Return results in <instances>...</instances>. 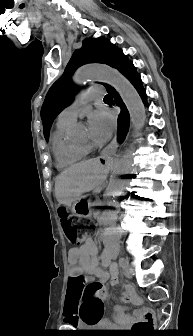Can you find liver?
<instances>
[{
    "label": "liver",
    "mask_w": 193,
    "mask_h": 336,
    "mask_svg": "<svg viewBox=\"0 0 193 336\" xmlns=\"http://www.w3.org/2000/svg\"><path fill=\"white\" fill-rule=\"evenodd\" d=\"M111 168L110 160L104 163L93 158L74 164L59 174L55 181V197L59 204L71 206L82 194L97 191L106 180Z\"/></svg>",
    "instance_id": "obj_1"
}]
</instances>
